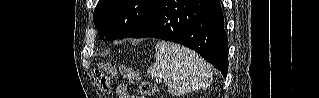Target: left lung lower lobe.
Wrapping results in <instances>:
<instances>
[{"label":"left lung lower lobe","mask_w":319,"mask_h":98,"mask_svg":"<svg viewBox=\"0 0 319 98\" xmlns=\"http://www.w3.org/2000/svg\"><path fill=\"white\" fill-rule=\"evenodd\" d=\"M130 37H153L197 51L226 77L228 41L219 0H159Z\"/></svg>","instance_id":"left-lung-lower-lobe-1"}]
</instances>
